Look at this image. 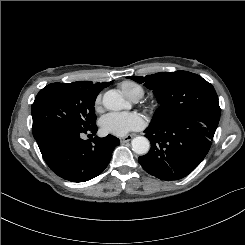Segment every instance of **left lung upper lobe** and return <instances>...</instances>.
<instances>
[{
    "mask_svg": "<svg viewBox=\"0 0 245 245\" xmlns=\"http://www.w3.org/2000/svg\"><path fill=\"white\" fill-rule=\"evenodd\" d=\"M128 78L143 83L148 89L153 90L161 104L150 126H164L195 115H208L220 119L215 89L197 74L176 71Z\"/></svg>",
    "mask_w": 245,
    "mask_h": 245,
    "instance_id": "5c2ea615",
    "label": "left lung upper lobe"
}]
</instances>
